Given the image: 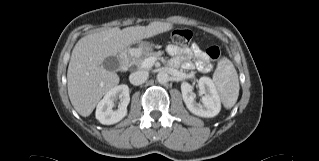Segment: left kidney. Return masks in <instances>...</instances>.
<instances>
[{
    "label": "left kidney",
    "mask_w": 319,
    "mask_h": 161,
    "mask_svg": "<svg viewBox=\"0 0 319 161\" xmlns=\"http://www.w3.org/2000/svg\"><path fill=\"white\" fill-rule=\"evenodd\" d=\"M198 87L200 92L204 94L201 99V103L195 101V94L193 93V87L183 82L181 84V92L186 107L193 114L200 117H214L221 109L220 97L216 90L213 81L208 77H201L198 81Z\"/></svg>",
    "instance_id": "1"
}]
</instances>
